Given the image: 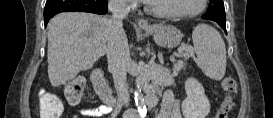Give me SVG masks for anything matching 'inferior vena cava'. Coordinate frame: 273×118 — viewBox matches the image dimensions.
Masks as SVG:
<instances>
[{
    "instance_id": "1",
    "label": "inferior vena cava",
    "mask_w": 273,
    "mask_h": 118,
    "mask_svg": "<svg viewBox=\"0 0 273 118\" xmlns=\"http://www.w3.org/2000/svg\"><path fill=\"white\" fill-rule=\"evenodd\" d=\"M108 9L112 13L108 22V70L112 73L119 103L127 107L130 96L126 83V74L131 59L122 21L128 15L129 8L126 0H109Z\"/></svg>"
}]
</instances>
